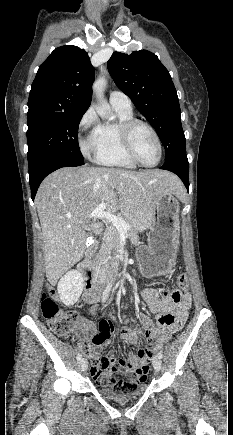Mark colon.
Listing matches in <instances>:
<instances>
[{"instance_id":"1","label":"colon","mask_w":233,"mask_h":435,"mask_svg":"<svg viewBox=\"0 0 233 435\" xmlns=\"http://www.w3.org/2000/svg\"><path fill=\"white\" fill-rule=\"evenodd\" d=\"M177 283L182 288H187L189 285L188 277L185 273H181L177 278ZM58 290L54 284L47 293H43L41 296V313L44 319L47 321L49 328L58 336L66 337L75 322L76 314L71 310L61 309L57 302ZM100 338L96 336L94 341H99ZM81 351L87 354L88 348L83 347ZM146 358L147 361L151 358V352L142 353V359ZM100 362L106 363V360H100ZM139 370L137 368L132 369L133 379L128 381H121L117 386L123 392H131L135 387L138 386L139 381L136 379Z\"/></svg>"}]
</instances>
